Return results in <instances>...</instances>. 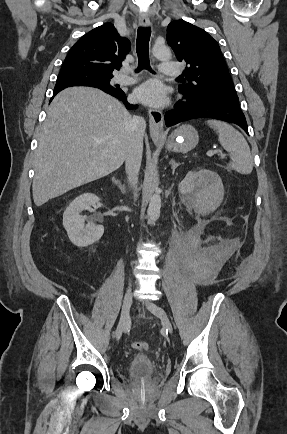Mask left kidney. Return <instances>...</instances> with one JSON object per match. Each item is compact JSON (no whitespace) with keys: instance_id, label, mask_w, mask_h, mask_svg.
<instances>
[{"instance_id":"obj_1","label":"left kidney","mask_w":287,"mask_h":434,"mask_svg":"<svg viewBox=\"0 0 287 434\" xmlns=\"http://www.w3.org/2000/svg\"><path fill=\"white\" fill-rule=\"evenodd\" d=\"M179 191L185 202L199 210L216 209L224 197L221 178L207 169L189 171L180 183Z\"/></svg>"}]
</instances>
